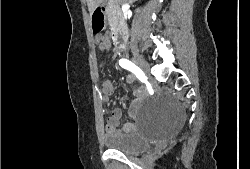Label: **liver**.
I'll return each mask as SVG.
<instances>
[{"label":"liver","instance_id":"6515ba94","mask_svg":"<svg viewBox=\"0 0 250 169\" xmlns=\"http://www.w3.org/2000/svg\"><path fill=\"white\" fill-rule=\"evenodd\" d=\"M100 2H103V0H87L88 10L91 14L93 10H95L96 6H99ZM115 2H119V4H122V2H129V4H132L135 0H115Z\"/></svg>","mask_w":250,"mask_h":169}]
</instances>
